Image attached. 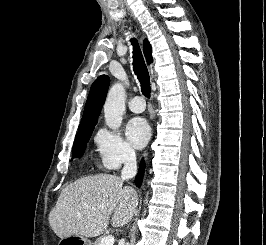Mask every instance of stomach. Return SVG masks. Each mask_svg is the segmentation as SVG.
<instances>
[{
	"label": "stomach",
	"mask_w": 266,
	"mask_h": 245,
	"mask_svg": "<svg viewBox=\"0 0 266 245\" xmlns=\"http://www.w3.org/2000/svg\"><path fill=\"white\" fill-rule=\"evenodd\" d=\"M62 242H75L77 245H91L86 237H62Z\"/></svg>",
	"instance_id": "1"
}]
</instances>
